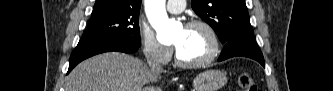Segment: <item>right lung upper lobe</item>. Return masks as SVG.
<instances>
[{"label":"right lung upper lobe","mask_w":333,"mask_h":91,"mask_svg":"<svg viewBox=\"0 0 333 91\" xmlns=\"http://www.w3.org/2000/svg\"><path fill=\"white\" fill-rule=\"evenodd\" d=\"M141 0H96L91 18L140 11Z\"/></svg>","instance_id":"cb5924a9"}]
</instances>
